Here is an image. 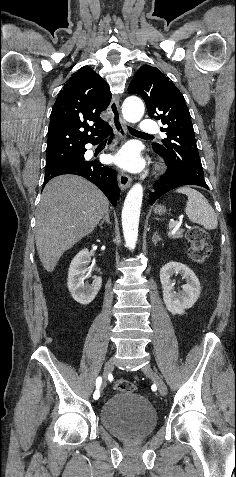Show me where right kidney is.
Segmentation results:
<instances>
[{
    "instance_id": "ca27d5eb",
    "label": "right kidney",
    "mask_w": 236,
    "mask_h": 477,
    "mask_svg": "<svg viewBox=\"0 0 236 477\" xmlns=\"http://www.w3.org/2000/svg\"><path fill=\"white\" fill-rule=\"evenodd\" d=\"M91 260L88 249L81 250L72 260L68 272V289L74 298L80 304H90L98 294L102 278L94 276L92 284L84 282L91 272L89 263Z\"/></svg>"
}]
</instances>
